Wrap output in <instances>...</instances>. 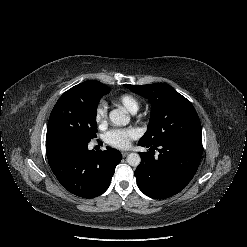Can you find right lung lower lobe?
<instances>
[{
	"label": "right lung lower lobe",
	"instance_id": "1",
	"mask_svg": "<svg viewBox=\"0 0 247 247\" xmlns=\"http://www.w3.org/2000/svg\"><path fill=\"white\" fill-rule=\"evenodd\" d=\"M46 154L60 184L70 193L83 198L103 194L122 159L116 149L89 150L88 143L68 139L46 143Z\"/></svg>",
	"mask_w": 247,
	"mask_h": 247
}]
</instances>
